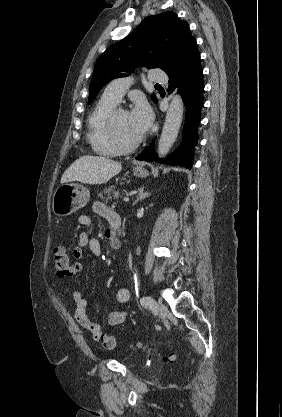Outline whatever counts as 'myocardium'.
Returning a JSON list of instances; mask_svg holds the SVG:
<instances>
[{
  "instance_id": "f54148a6",
  "label": "myocardium",
  "mask_w": 282,
  "mask_h": 417,
  "mask_svg": "<svg viewBox=\"0 0 282 417\" xmlns=\"http://www.w3.org/2000/svg\"><path fill=\"white\" fill-rule=\"evenodd\" d=\"M121 113H128L121 106H116L112 109L106 116L105 121L107 123L109 134L108 139L112 147H114L117 151H127L137 148L144 140V135L141 134L140 137L131 143H124L122 142L117 133H116V119Z\"/></svg>"
}]
</instances>
